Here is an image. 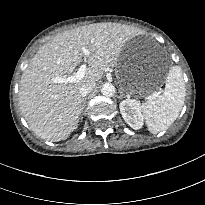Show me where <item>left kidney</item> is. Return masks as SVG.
I'll return each mask as SVG.
<instances>
[{
  "mask_svg": "<svg viewBox=\"0 0 205 205\" xmlns=\"http://www.w3.org/2000/svg\"><path fill=\"white\" fill-rule=\"evenodd\" d=\"M120 112L125 122L135 130L143 126V114L140 102L135 99H125L119 104Z\"/></svg>",
  "mask_w": 205,
  "mask_h": 205,
  "instance_id": "5707ae66",
  "label": "left kidney"
}]
</instances>
